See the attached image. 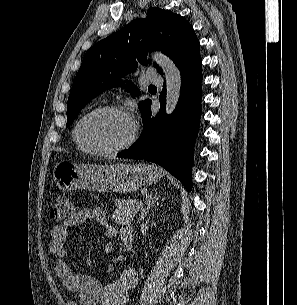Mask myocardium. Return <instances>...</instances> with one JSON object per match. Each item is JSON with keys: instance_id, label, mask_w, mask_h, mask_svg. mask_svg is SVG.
Wrapping results in <instances>:
<instances>
[{"instance_id": "myocardium-1", "label": "myocardium", "mask_w": 297, "mask_h": 305, "mask_svg": "<svg viewBox=\"0 0 297 305\" xmlns=\"http://www.w3.org/2000/svg\"><path fill=\"white\" fill-rule=\"evenodd\" d=\"M99 113H115L120 114L125 117H127L131 123V132L128 136V138L121 144L113 147H94L87 145L81 136V127L85 120H87L89 117L99 114ZM138 135V124L133 118L132 114L124 109L123 107L116 106V105H106V106H100L97 108H94L90 111H88L86 114H84L76 123L74 128V138L77 143V145L80 147L81 150L84 152L92 153V154H101V155H110V154H116L119 152H122L126 149H128L130 146L134 144V142L137 139Z\"/></svg>"}]
</instances>
